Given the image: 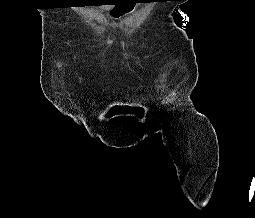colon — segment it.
Wrapping results in <instances>:
<instances>
[{
    "label": "colon",
    "instance_id": "1",
    "mask_svg": "<svg viewBox=\"0 0 255 218\" xmlns=\"http://www.w3.org/2000/svg\"><path fill=\"white\" fill-rule=\"evenodd\" d=\"M133 7H134L133 3L118 6L112 10L111 15L113 17H119L123 12L130 11L131 9H133Z\"/></svg>",
    "mask_w": 255,
    "mask_h": 218
}]
</instances>
